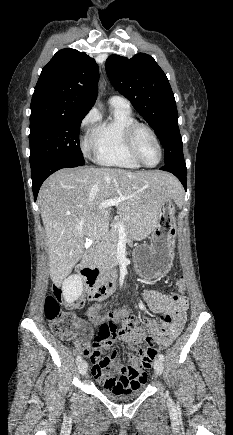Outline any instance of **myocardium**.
<instances>
[{"mask_svg": "<svg viewBox=\"0 0 233 435\" xmlns=\"http://www.w3.org/2000/svg\"><path fill=\"white\" fill-rule=\"evenodd\" d=\"M141 129L148 132V134L152 137L153 141L155 142V144L157 146V149L159 152V160L154 165L146 164L139 154L137 144H136V135H137V132ZM124 135H125V141H126V145H127L128 150H129V153L131 154L132 158L140 166L146 167V168H154V167L159 165V163L161 162L162 157H163L162 146L160 144V141H159L157 134L149 125H147L146 123L140 122V121H135V122L131 123L126 128Z\"/></svg>", "mask_w": 233, "mask_h": 435, "instance_id": "myocardium-1", "label": "myocardium"}]
</instances>
